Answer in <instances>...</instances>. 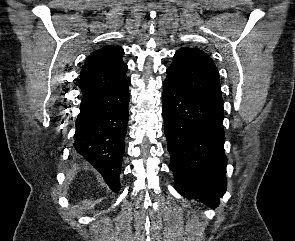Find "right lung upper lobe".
Instances as JSON below:
<instances>
[{
    "label": "right lung upper lobe",
    "mask_w": 295,
    "mask_h": 241,
    "mask_svg": "<svg viewBox=\"0 0 295 241\" xmlns=\"http://www.w3.org/2000/svg\"><path fill=\"white\" fill-rule=\"evenodd\" d=\"M123 49L120 46H105L91 53L86 59L80 74L79 86L83 96L122 85L128 79V69L122 61Z\"/></svg>",
    "instance_id": "right-lung-upper-lobe-1"
}]
</instances>
